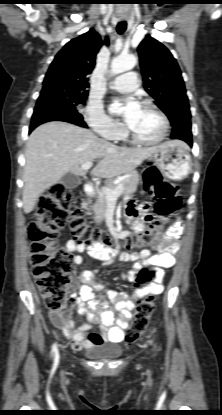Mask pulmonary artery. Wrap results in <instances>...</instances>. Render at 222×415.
I'll return each instance as SVG.
<instances>
[{
	"label": "pulmonary artery",
	"instance_id": "pulmonary-artery-1",
	"mask_svg": "<svg viewBox=\"0 0 222 415\" xmlns=\"http://www.w3.org/2000/svg\"><path fill=\"white\" fill-rule=\"evenodd\" d=\"M109 87L120 92H131L138 87V78L135 72H128L115 77Z\"/></svg>",
	"mask_w": 222,
	"mask_h": 415
}]
</instances>
